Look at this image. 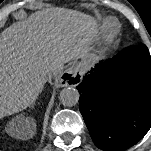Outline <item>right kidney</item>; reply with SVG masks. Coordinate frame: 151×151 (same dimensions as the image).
I'll return each mask as SVG.
<instances>
[{
    "mask_svg": "<svg viewBox=\"0 0 151 151\" xmlns=\"http://www.w3.org/2000/svg\"><path fill=\"white\" fill-rule=\"evenodd\" d=\"M16 121H18V118H16V119H14L13 120V122H16ZM21 122V121H20ZM11 131H12V133H16V129L12 126V128H11ZM27 131H28V127H26V129H25V137L27 138Z\"/></svg>",
    "mask_w": 151,
    "mask_h": 151,
    "instance_id": "1",
    "label": "right kidney"
}]
</instances>
